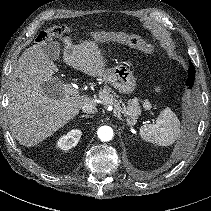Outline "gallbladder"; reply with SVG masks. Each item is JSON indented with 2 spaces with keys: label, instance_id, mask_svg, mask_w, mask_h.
<instances>
[{
  "label": "gallbladder",
  "instance_id": "gallbladder-1",
  "mask_svg": "<svg viewBox=\"0 0 211 211\" xmlns=\"http://www.w3.org/2000/svg\"><path fill=\"white\" fill-rule=\"evenodd\" d=\"M60 51H61L60 44L57 41H51L44 47V52H45L46 56L48 57V59L51 61H57L60 59ZM60 83H61V81L54 80V81L50 82L44 88L46 89V92L52 96V95H54V92L50 93L47 91V89L51 88L52 85H56V84H60Z\"/></svg>",
  "mask_w": 211,
  "mask_h": 211
}]
</instances>
